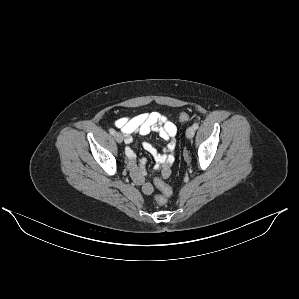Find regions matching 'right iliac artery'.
Returning <instances> with one entry per match:
<instances>
[{
    "mask_svg": "<svg viewBox=\"0 0 299 299\" xmlns=\"http://www.w3.org/2000/svg\"><path fill=\"white\" fill-rule=\"evenodd\" d=\"M109 132L111 135H115V133H116L114 129H110ZM126 150H127V148H126Z\"/></svg>",
    "mask_w": 299,
    "mask_h": 299,
    "instance_id": "1",
    "label": "right iliac artery"
}]
</instances>
